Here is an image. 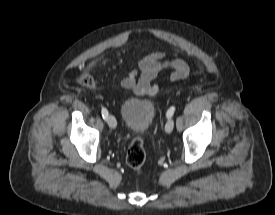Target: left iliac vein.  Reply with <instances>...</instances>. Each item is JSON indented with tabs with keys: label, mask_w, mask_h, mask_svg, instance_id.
Returning <instances> with one entry per match:
<instances>
[{
	"label": "left iliac vein",
	"mask_w": 275,
	"mask_h": 215,
	"mask_svg": "<svg viewBox=\"0 0 275 215\" xmlns=\"http://www.w3.org/2000/svg\"><path fill=\"white\" fill-rule=\"evenodd\" d=\"M173 127H174V121L173 119H169L167 122H166V125H165V131L166 133H171L172 130H173Z\"/></svg>",
	"instance_id": "1"
}]
</instances>
